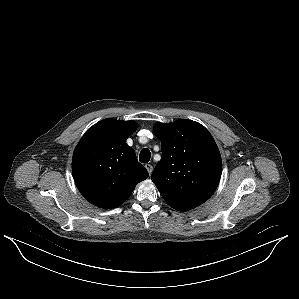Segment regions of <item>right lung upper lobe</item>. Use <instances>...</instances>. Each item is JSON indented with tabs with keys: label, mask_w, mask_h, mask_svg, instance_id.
<instances>
[{
	"label": "right lung upper lobe",
	"mask_w": 299,
	"mask_h": 299,
	"mask_svg": "<svg viewBox=\"0 0 299 299\" xmlns=\"http://www.w3.org/2000/svg\"><path fill=\"white\" fill-rule=\"evenodd\" d=\"M134 121L104 119L90 127L73 153L72 172L81 194L93 205L111 209L123 204L148 171L136 158L127 138Z\"/></svg>",
	"instance_id": "cb5924a9"
}]
</instances>
